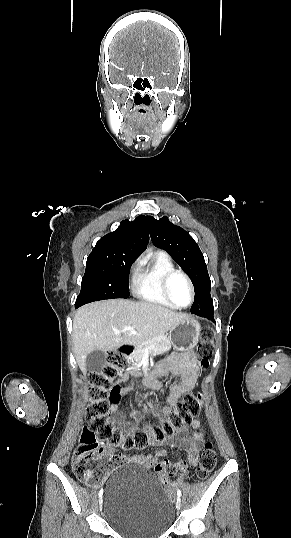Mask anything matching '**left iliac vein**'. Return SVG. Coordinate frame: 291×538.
<instances>
[{"instance_id":"1","label":"left iliac vein","mask_w":291,"mask_h":538,"mask_svg":"<svg viewBox=\"0 0 291 538\" xmlns=\"http://www.w3.org/2000/svg\"><path fill=\"white\" fill-rule=\"evenodd\" d=\"M176 508L179 510L181 508V499L177 498L176 500Z\"/></svg>"}]
</instances>
